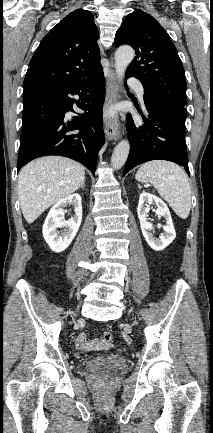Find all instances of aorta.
Returning <instances> with one entry per match:
<instances>
[{"label": "aorta", "mask_w": 213, "mask_h": 433, "mask_svg": "<svg viewBox=\"0 0 213 433\" xmlns=\"http://www.w3.org/2000/svg\"><path fill=\"white\" fill-rule=\"evenodd\" d=\"M134 56L135 52L132 47L121 46L116 50L114 55V66L119 84L122 82V79L125 76V71ZM118 87L121 88V84L118 85ZM129 151L130 144L127 140H122L117 144L111 157L113 168L120 169L126 163Z\"/></svg>", "instance_id": "aorta-1"}]
</instances>
